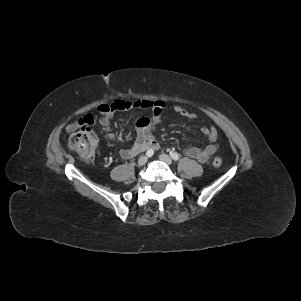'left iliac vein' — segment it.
Listing matches in <instances>:
<instances>
[{
    "instance_id": "left-iliac-vein-1",
    "label": "left iliac vein",
    "mask_w": 301,
    "mask_h": 301,
    "mask_svg": "<svg viewBox=\"0 0 301 301\" xmlns=\"http://www.w3.org/2000/svg\"><path fill=\"white\" fill-rule=\"evenodd\" d=\"M159 158H160L161 161L165 162V163L168 164V165H171V164H172V159H171V157H170L169 155H167V154H161V155L159 156Z\"/></svg>"
}]
</instances>
